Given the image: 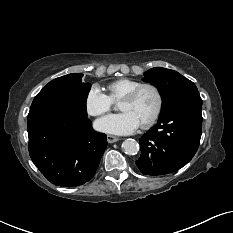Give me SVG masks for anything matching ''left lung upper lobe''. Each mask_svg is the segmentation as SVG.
I'll use <instances>...</instances> for the list:
<instances>
[{
	"label": "left lung upper lobe",
	"instance_id": "1",
	"mask_svg": "<svg viewBox=\"0 0 233 233\" xmlns=\"http://www.w3.org/2000/svg\"><path fill=\"white\" fill-rule=\"evenodd\" d=\"M143 80L156 86L162 97L161 114L189 104H202L195 84L178 72L155 67L144 73Z\"/></svg>",
	"mask_w": 233,
	"mask_h": 233
}]
</instances>
